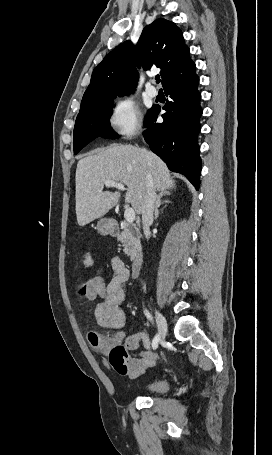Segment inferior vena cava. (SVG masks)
I'll return each instance as SVG.
<instances>
[{"label": "inferior vena cava", "mask_w": 272, "mask_h": 455, "mask_svg": "<svg viewBox=\"0 0 272 455\" xmlns=\"http://www.w3.org/2000/svg\"><path fill=\"white\" fill-rule=\"evenodd\" d=\"M146 195L142 209L143 232L147 239L150 237V225L153 222V212L156 203V192L153 178L150 173L146 176Z\"/></svg>", "instance_id": "inferior-vena-cava-1"}]
</instances>
